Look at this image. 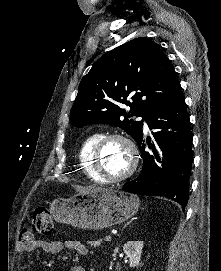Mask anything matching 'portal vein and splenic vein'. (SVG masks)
Returning a JSON list of instances; mask_svg holds the SVG:
<instances>
[{
	"mask_svg": "<svg viewBox=\"0 0 221 271\" xmlns=\"http://www.w3.org/2000/svg\"><path fill=\"white\" fill-rule=\"evenodd\" d=\"M104 240L106 241H110L112 239V236L111 235H104Z\"/></svg>",
	"mask_w": 221,
	"mask_h": 271,
	"instance_id": "1",
	"label": "portal vein and splenic vein"
}]
</instances>
